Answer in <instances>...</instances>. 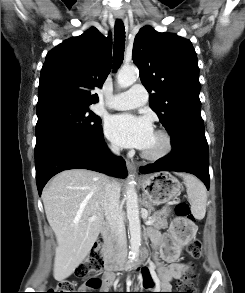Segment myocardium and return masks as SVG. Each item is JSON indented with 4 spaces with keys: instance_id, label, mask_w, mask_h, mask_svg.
I'll return each instance as SVG.
<instances>
[{
    "instance_id": "f54148a6",
    "label": "myocardium",
    "mask_w": 245,
    "mask_h": 293,
    "mask_svg": "<svg viewBox=\"0 0 245 293\" xmlns=\"http://www.w3.org/2000/svg\"><path fill=\"white\" fill-rule=\"evenodd\" d=\"M155 133L162 138L163 147L159 152H156V153H149L146 151H142L141 156L144 159L152 160V161L160 160V159L166 157L172 151L173 138H172L171 134L165 129H158L155 131Z\"/></svg>"
}]
</instances>
